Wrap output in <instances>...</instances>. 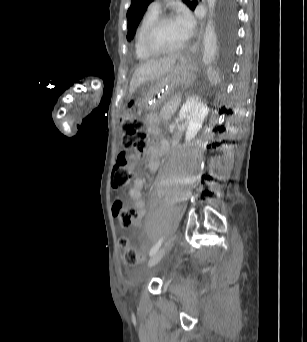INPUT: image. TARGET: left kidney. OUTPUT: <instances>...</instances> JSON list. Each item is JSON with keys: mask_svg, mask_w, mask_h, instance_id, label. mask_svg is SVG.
<instances>
[{"mask_svg": "<svg viewBox=\"0 0 307 342\" xmlns=\"http://www.w3.org/2000/svg\"><path fill=\"white\" fill-rule=\"evenodd\" d=\"M209 112V108L200 102L197 96H192L188 98L185 104H183L180 112L179 118L185 120L188 124V128L185 134L186 142H191L195 136H197L200 128L203 126V122Z\"/></svg>", "mask_w": 307, "mask_h": 342, "instance_id": "left-kidney-1", "label": "left kidney"}]
</instances>
